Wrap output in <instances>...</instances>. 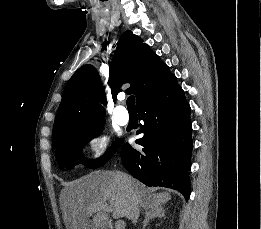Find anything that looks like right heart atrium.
<instances>
[{
  "label": "right heart atrium",
  "mask_w": 261,
  "mask_h": 229,
  "mask_svg": "<svg viewBox=\"0 0 261 229\" xmlns=\"http://www.w3.org/2000/svg\"><path fill=\"white\" fill-rule=\"evenodd\" d=\"M109 135L107 131L101 127L95 129L89 139L91 157L94 161L102 159L108 149Z\"/></svg>",
  "instance_id": "1"
}]
</instances>
